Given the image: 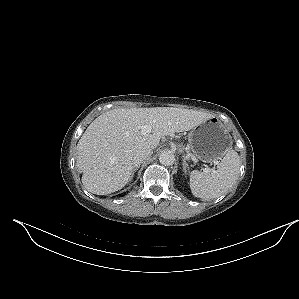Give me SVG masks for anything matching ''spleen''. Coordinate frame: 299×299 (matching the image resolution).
Returning <instances> with one entry per match:
<instances>
[{"label":"spleen","instance_id":"spleen-1","mask_svg":"<svg viewBox=\"0 0 299 299\" xmlns=\"http://www.w3.org/2000/svg\"><path fill=\"white\" fill-rule=\"evenodd\" d=\"M239 166L238 153L229 150L217 166V170L212 172L193 170L190 173L192 194L204 200L221 196L236 182Z\"/></svg>","mask_w":299,"mask_h":299}]
</instances>
